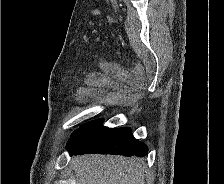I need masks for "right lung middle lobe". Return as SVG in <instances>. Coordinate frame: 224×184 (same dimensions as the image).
I'll list each match as a JSON object with an SVG mask.
<instances>
[{"label":"right lung middle lobe","mask_w":224,"mask_h":184,"mask_svg":"<svg viewBox=\"0 0 224 184\" xmlns=\"http://www.w3.org/2000/svg\"><path fill=\"white\" fill-rule=\"evenodd\" d=\"M102 124V119H98L95 121H91L87 124L82 125L79 129L75 130L73 134L71 135L69 141H68V146L73 145L77 143L79 140H81L85 135L90 133L92 130L97 128Z\"/></svg>","instance_id":"1"}]
</instances>
